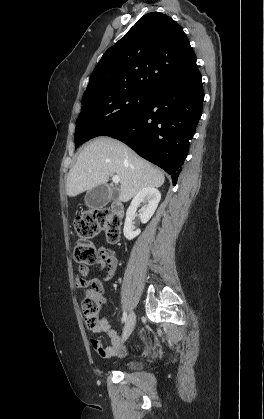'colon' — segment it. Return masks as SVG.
I'll use <instances>...</instances> for the list:
<instances>
[{"instance_id":"1","label":"colon","mask_w":264,"mask_h":419,"mask_svg":"<svg viewBox=\"0 0 264 419\" xmlns=\"http://www.w3.org/2000/svg\"><path fill=\"white\" fill-rule=\"evenodd\" d=\"M78 240L74 247L73 256L80 264H94L97 252L91 239L99 233H104L109 243H117L120 238L121 224L118 216L106 209L87 212L74 221ZM101 299L92 292H86L82 301V309L89 329L96 330L99 326V311Z\"/></svg>"}]
</instances>
